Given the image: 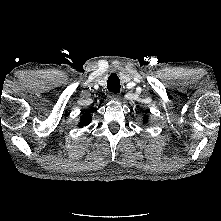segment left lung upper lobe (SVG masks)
<instances>
[{
    "label": "left lung upper lobe",
    "instance_id": "left-lung-upper-lobe-1",
    "mask_svg": "<svg viewBox=\"0 0 221 221\" xmlns=\"http://www.w3.org/2000/svg\"><path fill=\"white\" fill-rule=\"evenodd\" d=\"M143 121L146 122V121H147V117H144V118H143Z\"/></svg>",
    "mask_w": 221,
    "mask_h": 221
}]
</instances>
